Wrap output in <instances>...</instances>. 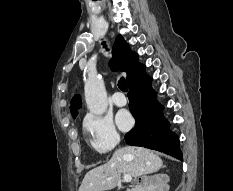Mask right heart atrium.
<instances>
[{
  "label": "right heart atrium",
  "instance_id": "d8ad5b80",
  "mask_svg": "<svg viewBox=\"0 0 233 191\" xmlns=\"http://www.w3.org/2000/svg\"><path fill=\"white\" fill-rule=\"evenodd\" d=\"M84 129L95 151L105 154L112 150L120 140L119 133L111 118L89 114L84 120Z\"/></svg>",
  "mask_w": 233,
  "mask_h": 191
}]
</instances>
